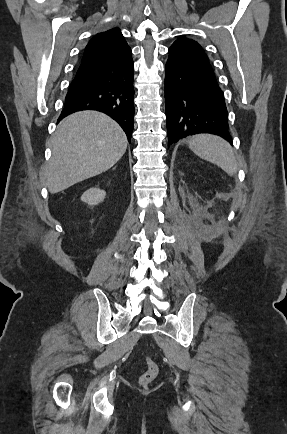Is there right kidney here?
Wrapping results in <instances>:
<instances>
[{"label": "right kidney", "instance_id": "obj_1", "mask_svg": "<svg viewBox=\"0 0 287 434\" xmlns=\"http://www.w3.org/2000/svg\"><path fill=\"white\" fill-rule=\"evenodd\" d=\"M106 196V192L99 188H90L86 190L82 196L81 201L89 204V205H97L102 202Z\"/></svg>", "mask_w": 287, "mask_h": 434}]
</instances>
